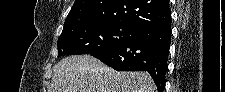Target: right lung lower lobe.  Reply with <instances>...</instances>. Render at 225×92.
<instances>
[{
  "instance_id": "98d812e1",
  "label": "right lung lower lobe",
  "mask_w": 225,
  "mask_h": 92,
  "mask_svg": "<svg viewBox=\"0 0 225 92\" xmlns=\"http://www.w3.org/2000/svg\"><path fill=\"white\" fill-rule=\"evenodd\" d=\"M170 43L171 21L137 29L133 38L92 56L117 71H147L163 92Z\"/></svg>"
}]
</instances>
